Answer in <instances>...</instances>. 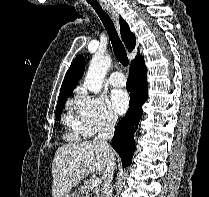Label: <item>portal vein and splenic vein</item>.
I'll list each match as a JSON object with an SVG mask.
<instances>
[{"instance_id":"portal-vein-and-splenic-vein-1","label":"portal vein and splenic vein","mask_w":209,"mask_h":197,"mask_svg":"<svg viewBox=\"0 0 209 197\" xmlns=\"http://www.w3.org/2000/svg\"><path fill=\"white\" fill-rule=\"evenodd\" d=\"M91 184L93 186L100 185L101 184V179L99 177L93 178L92 181H91Z\"/></svg>"}]
</instances>
